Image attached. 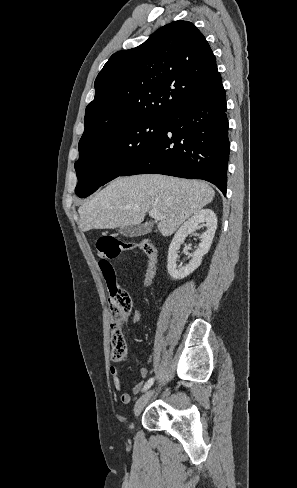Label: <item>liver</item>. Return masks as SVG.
<instances>
[{"label": "liver", "mask_w": 297, "mask_h": 488, "mask_svg": "<svg viewBox=\"0 0 297 488\" xmlns=\"http://www.w3.org/2000/svg\"><path fill=\"white\" fill-rule=\"evenodd\" d=\"M214 195L207 183L197 180L157 174L118 177L79 207L80 227L89 231L137 225L146 212L157 210L163 215L158 231L170 236Z\"/></svg>", "instance_id": "liver-1"}]
</instances>
